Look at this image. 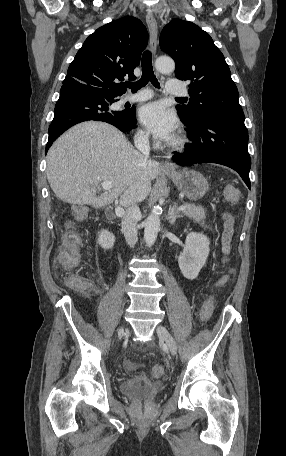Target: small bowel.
<instances>
[{
    "label": "small bowel",
    "mask_w": 286,
    "mask_h": 456,
    "mask_svg": "<svg viewBox=\"0 0 286 456\" xmlns=\"http://www.w3.org/2000/svg\"><path fill=\"white\" fill-rule=\"evenodd\" d=\"M220 219L223 226V233H222V252L224 255L223 262L227 263L230 258V241L233 235V224L234 219L233 217L227 213L223 212L220 215ZM228 279V276L225 275L220 279V282H224ZM79 295L83 298L87 297V293L85 291H80Z\"/></svg>",
    "instance_id": "c3829d8e"
}]
</instances>
